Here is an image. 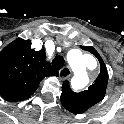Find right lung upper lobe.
Returning a JSON list of instances; mask_svg holds the SVG:
<instances>
[{
  "label": "right lung upper lobe",
  "mask_w": 124,
  "mask_h": 124,
  "mask_svg": "<svg viewBox=\"0 0 124 124\" xmlns=\"http://www.w3.org/2000/svg\"><path fill=\"white\" fill-rule=\"evenodd\" d=\"M44 50L35 51L30 40L17 38L0 52V95L7 101H23L39 83L49 76H58L46 60Z\"/></svg>",
  "instance_id": "1"
}]
</instances>
